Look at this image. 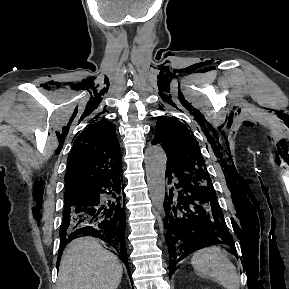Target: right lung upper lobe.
I'll use <instances>...</instances> for the list:
<instances>
[{
    "instance_id": "cb5924a9",
    "label": "right lung upper lobe",
    "mask_w": 289,
    "mask_h": 289,
    "mask_svg": "<svg viewBox=\"0 0 289 289\" xmlns=\"http://www.w3.org/2000/svg\"><path fill=\"white\" fill-rule=\"evenodd\" d=\"M116 127L106 119L88 125L74 141L65 174V196L83 193L122 173Z\"/></svg>"
}]
</instances>
